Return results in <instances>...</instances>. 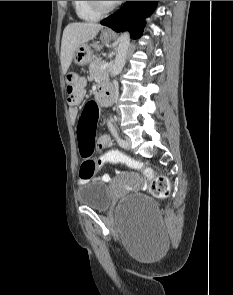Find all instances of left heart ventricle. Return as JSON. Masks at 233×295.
<instances>
[{
    "instance_id": "left-heart-ventricle-1",
    "label": "left heart ventricle",
    "mask_w": 233,
    "mask_h": 295,
    "mask_svg": "<svg viewBox=\"0 0 233 295\" xmlns=\"http://www.w3.org/2000/svg\"><path fill=\"white\" fill-rule=\"evenodd\" d=\"M104 6H109L113 4L115 1H101Z\"/></svg>"
}]
</instances>
